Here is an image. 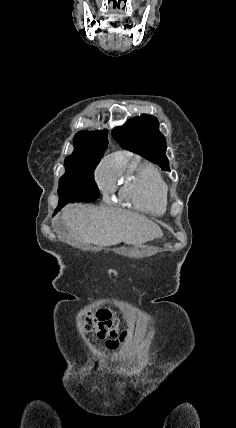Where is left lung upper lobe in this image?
Here are the masks:
<instances>
[{"label": "left lung upper lobe", "instance_id": "5c2ea615", "mask_svg": "<svg viewBox=\"0 0 236 428\" xmlns=\"http://www.w3.org/2000/svg\"><path fill=\"white\" fill-rule=\"evenodd\" d=\"M158 120L143 114L134 117L122 127L112 131V136L126 150L158 164L162 170L169 171V162L165 155L166 140L159 132Z\"/></svg>", "mask_w": 236, "mask_h": 428}]
</instances>
